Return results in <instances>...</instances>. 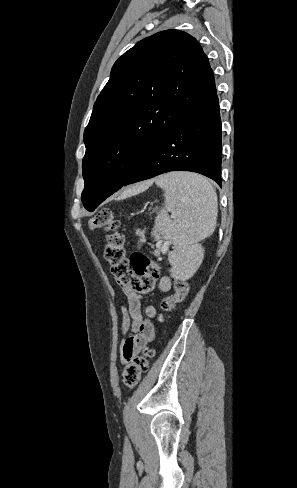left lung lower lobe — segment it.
<instances>
[{"instance_id": "left-lung-lower-lobe-1", "label": "left lung lower lobe", "mask_w": 297, "mask_h": 488, "mask_svg": "<svg viewBox=\"0 0 297 488\" xmlns=\"http://www.w3.org/2000/svg\"><path fill=\"white\" fill-rule=\"evenodd\" d=\"M220 165L221 119L214 93L161 140L124 185L183 170L203 174L221 186Z\"/></svg>"}]
</instances>
